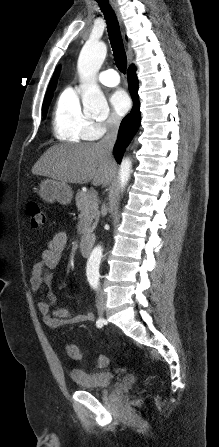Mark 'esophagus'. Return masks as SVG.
Listing matches in <instances>:
<instances>
[{"label": "esophagus", "mask_w": 219, "mask_h": 447, "mask_svg": "<svg viewBox=\"0 0 219 447\" xmlns=\"http://www.w3.org/2000/svg\"><path fill=\"white\" fill-rule=\"evenodd\" d=\"M112 7L114 8L116 15L118 17V20L121 22V17H120V12L118 10V7L116 5V3L113 0H110Z\"/></svg>", "instance_id": "34e87169"}]
</instances>
